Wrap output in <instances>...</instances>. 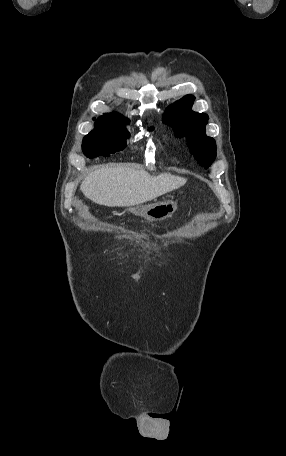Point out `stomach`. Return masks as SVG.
Returning a JSON list of instances; mask_svg holds the SVG:
<instances>
[{"instance_id":"stomach-1","label":"stomach","mask_w":286,"mask_h":456,"mask_svg":"<svg viewBox=\"0 0 286 456\" xmlns=\"http://www.w3.org/2000/svg\"><path fill=\"white\" fill-rule=\"evenodd\" d=\"M176 210V201L165 200L163 202L141 207L139 209V214L141 217L148 221H161L168 217H171Z\"/></svg>"}]
</instances>
